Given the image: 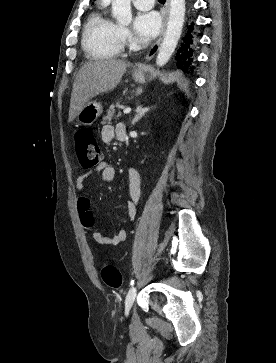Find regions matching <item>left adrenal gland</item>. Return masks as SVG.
<instances>
[{"label":"left adrenal gland","instance_id":"1","mask_svg":"<svg viewBox=\"0 0 276 363\" xmlns=\"http://www.w3.org/2000/svg\"><path fill=\"white\" fill-rule=\"evenodd\" d=\"M150 108H143L141 105L137 107L136 109V115L134 119L132 120V125H135L144 115L149 111Z\"/></svg>","mask_w":276,"mask_h":363}]
</instances>
